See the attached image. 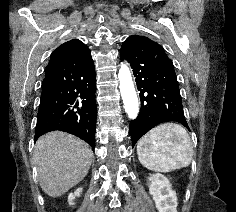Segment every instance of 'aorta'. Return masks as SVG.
Returning a JSON list of instances; mask_svg holds the SVG:
<instances>
[{
  "mask_svg": "<svg viewBox=\"0 0 236 212\" xmlns=\"http://www.w3.org/2000/svg\"><path fill=\"white\" fill-rule=\"evenodd\" d=\"M118 78L125 112L130 119H135L139 113V101L132 81V75L127 64H121Z\"/></svg>",
  "mask_w": 236,
  "mask_h": 212,
  "instance_id": "762f6f07",
  "label": "aorta"
}]
</instances>
